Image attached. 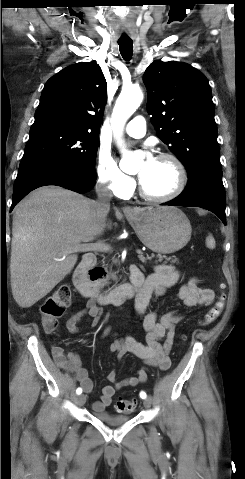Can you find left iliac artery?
I'll return each instance as SVG.
<instances>
[{
    "mask_svg": "<svg viewBox=\"0 0 245 479\" xmlns=\"http://www.w3.org/2000/svg\"><path fill=\"white\" fill-rule=\"evenodd\" d=\"M140 397H141L142 399H145V398L147 397V395H146V393H145L144 391H141V392H140Z\"/></svg>",
    "mask_w": 245,
    "mask_h": 479,
    "instance_id": "44dca946",
    "label": "left iliac artery"
}]
</instances>
